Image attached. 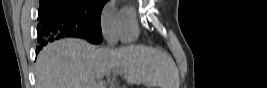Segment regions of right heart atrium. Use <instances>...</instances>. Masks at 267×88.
Segmentation results:
<instances>
[{
	"label": "right heart atrium",
	"mask_w": 267,
	"mask_h": 88,
	"mask_svg": "<svg viewBox=\"0 0 267 88\" xmlns=\"http://www.w3.org/2000/svg\"><path fill=\"white\" fill-rule=\"evenodd\" d=\"M100 24L102 33L110 44H114L121 37V15L113 2H109L102 10Z\"/></svg>",
	"instance_id": "right-heart-atrium-1"
}]
</instances>
